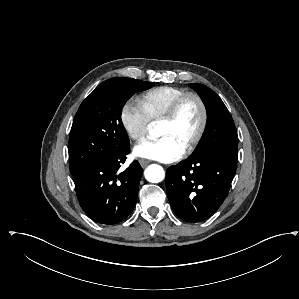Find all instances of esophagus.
<instances>
[{"label":"esophagus","instance_id":"esophagus-1","mask_svg":"<svg viewBox=\"0 0 299 299\" xmlns=\"http://www.w3.org/2000/svg\"><path fill=\"white\" fill-rule=\"evenodd\" d=\"M139 163H140L142 168H145L150 163V161L146 160V159H140Z\"/></svg>","mask_w":299,"mask_h":299}]
</instances>
